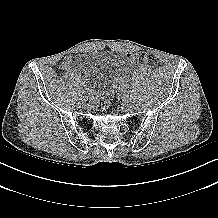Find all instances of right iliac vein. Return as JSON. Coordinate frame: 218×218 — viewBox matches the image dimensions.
I'll return each instance as SVG.
<instances>
[{
    "instance_id": "1",
    "label": "right iliac vein",
    "mask_w": 218,
    "mask_h": 218,
    "mask_svg": "<svg viewBox=\"0 0 218 218\" xmlns=\"http://www.w3.org/2000/svg\"><path fill=\"white\" fill-rule=\"evenodd\" d=\"M83 94V97L81 99V102L82 103H85L86 102V98H88V93H86L84 90L81 92Z\"/></svg>"
}]
</instances>
